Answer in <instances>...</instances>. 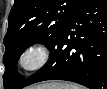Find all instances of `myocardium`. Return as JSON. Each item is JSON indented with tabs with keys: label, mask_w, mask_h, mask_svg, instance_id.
Listing matches in <instances>:
<instances>
[{
	"label": "myocardium",
	"mask_w": 107,
	"mask_h": 89,
	"mask_svg": "<svg viewBox=\"0 0 107 89\" xmlns=\"http://www.w3.org/2000/svg\"><path fill=\"white\" fill-rule=\"evenodd\" d=\"M50 49L43 42L28 45L18 58L19 67L26 72H34L44 67L50 59Z\"/></svg>",
	"instance_id": "f54148a6"
}]
</instances>
